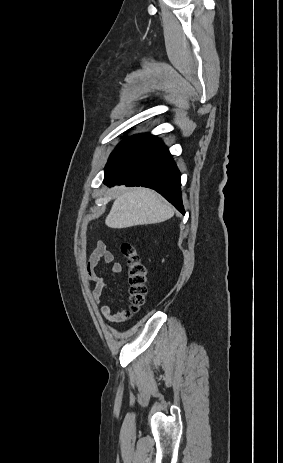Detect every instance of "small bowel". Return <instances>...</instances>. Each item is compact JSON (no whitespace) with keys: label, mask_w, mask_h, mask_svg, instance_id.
Wrapping results in <instances>:
<instances>
[{"label":"small bowel","mask_w":283,"mask_h":463,"mask_svg":"<svg viewBox=\"0 0 283 463\" xmlns=\"http://www.w3.org/2000/svg\"><path fill=\"white\" fill-rule=\"evenodd\" d=\"M101 261L107 264H111L112 271L114 273L122 272V264L120 262L114 261V255L107 249L105 242L102 240L97 241L94 250L89 255L85 263V269L88 278L94 284L91 294L92 299L96 304H99L102 293L107 287V282L96 274V267ZM101 315L106 320L112 322L122 318V312L115 313L111 304H105L101 307Z\"/></svg>","instance_id":"c3829d8e"}]
</instances>
